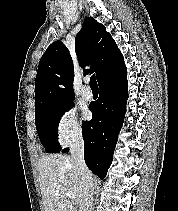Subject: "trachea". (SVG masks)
<instances>
[{
    "label": "trachea",
    "mask_w": 178,
    "mask_h": 211,
    "mask_svg": "<svg viewBox=\"0 0 178 211\" xmlns=\"http://www.w3.org/2000/svg\"><path fill=\"white\" fill-rule=\"evenodd\" d=\"M90 87L91 89H98V84H97V81H96V77H95V74H93L90 78Z\"/></svg>",
    "instance_id": "1"
}]
</instances>
